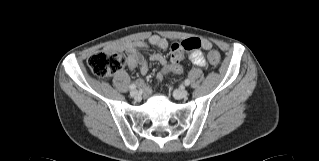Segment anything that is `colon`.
<instances>
[{
	"label": "colon",
	"instance_id": "5ec220e1",
	"mask_svg": "<svg viewBox=\"0 0 319 161\" xmlns=\"http://www.w3.org/2000/svg\"><path fill=\"white\" fill-rule=\"evenodd\" d=\"M201 42L198 38H188L172 45L171 61L174 64L180 63L183 59L184 52L198 50ZM209 60L213 64L220 61V54L213 50L209 53ZM125 65V57L119 52H100L93 54L88 59L90 70L97 76L106 77L113 75L123 69Z\"/></svg>",
	"mask_w": 319,
	"mask_h": 161
}]
</instances>
